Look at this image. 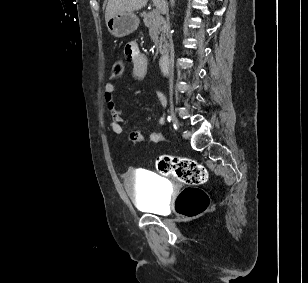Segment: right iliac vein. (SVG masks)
I'll return each mask as SVG.
<instances>
[{"instance_id": "1", "label": "right iliac vein", "mask_w": 308, "mask_h": 283, "mask_svg": "<svg viewBox=\"0 0 308 283\" xmlns=\"http://www.w3.org/2000/svg\"><path fill=\"white\" fill-rule=\"evenodd\" d=\"M170 112H171V118H172L173 124L178 127L179 124H178V120H177V118H176V116L174 114V108H173V104L172 103L170 104Z\"/></svg>"}]
</instances>
